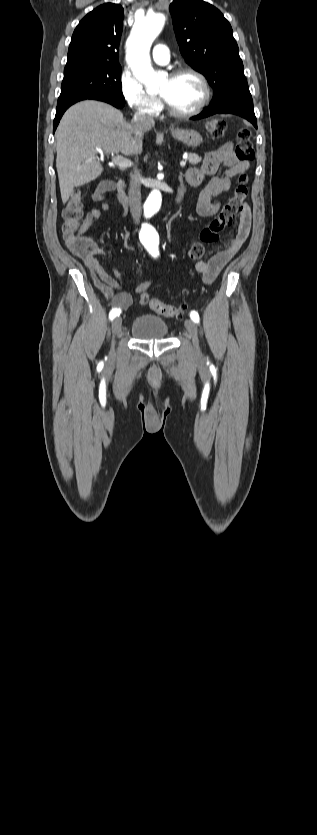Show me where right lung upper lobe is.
Here are the masks:
<instances>
[{
	"instance_id": "1",
	"label": "right lung upper lobe",
	"mask_w": 317,
	"mask_h": 835,
	"mask_svg": "<svg viewBox=\"0 0 317 835\" xmlns=\"http://www.w3.org/2000/svg\"><path fill=\"white\" fill-rule=\"evenodd\" d=\"M123 8L105 3L88 13L77 25L68 50V64L119 65V42Z\"/></svg>"
}]
</instances>
